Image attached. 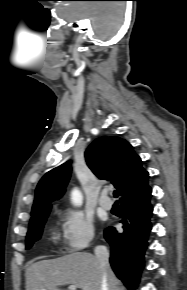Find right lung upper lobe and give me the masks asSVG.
<instances>
[{"label":"right lung upper lobe","mask_w":187,"mask_h":290,"mask_svg":"<svg viewBox=\"0 0 187 290\" xmlns=\"http://www.w3.org/2000/svg\"><path fill=\"white\" fill-rule=\"evenodd\" d=\"M87 165L100 179H107L117 188L120 203H132L147 198L151 193L148 172L141 166L133 147L119 137H100L85 152ZM71 173L70 162L46 173L36 188L30 222L49 213L51 202L62 196Z\"/></svg>","instance_id":"obj_1"}]
</instances>
